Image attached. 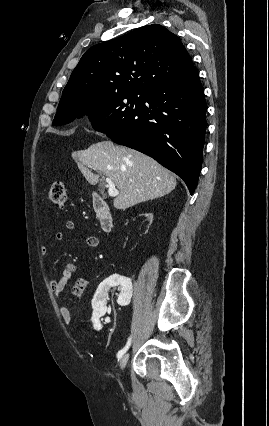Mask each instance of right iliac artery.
I'll use <instances>...</instances> for the list:
<instances>
[{
  "label": "right iliac artery",
  "instance_id": "right-iliac-artery-1",
  "mask_svg": "<svg viewBox=\"0 0 269 426\" xmlns=\"http://www.w3.org/2000/svg\"><path fill=\"white\" fill-rule=\"evenodd\" d=\"M130 345H131V336L128 338V341L125 347L118 352L117 354L118 359H120L124 355V353L129 349Z\"/></svg>",
  "mask_w": 269,
  "mask_h": 426
}]
</instances>
